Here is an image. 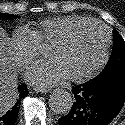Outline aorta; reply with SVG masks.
Returning <instances> with one entry per match:
<instances>
[{
  "label": "aorta",
  "mask_w": 125,
  "mask_h": 125,
  "mask_svg": "<svg viewBox=\"0 0 125 125\" xmlns=\"http://www.w3.org/2000/svg\"><path fill=\"white\" fill-rule=\"evenodd\" d=\"M49 107L57 114H67L73 105L74 98L64 89H56L49 97Z\"/></svg>",
  "instance_id": "762f6f07"
}]
</instances>
